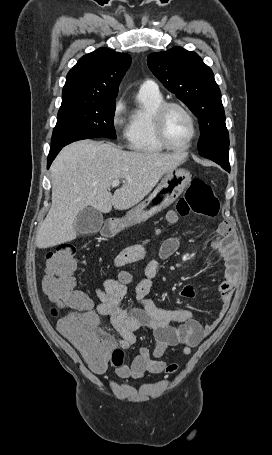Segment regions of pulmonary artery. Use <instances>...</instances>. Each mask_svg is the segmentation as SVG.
I'll list each match as a JSON object with an SVG mask.
<instances>
[{
  "label": "pulmonary artery",
  "mask_w": 272,
  "mask_h": 455,
  "mask_svg": "<svg viewBox=\"0 0 272 455\" xmlns=\"http://www.w3.org/2000/svg\"><path fill=\"white\" fill-rule=\"evenodd\" d=\"M140 90L152 91V92L159 91L157 84L152 80L144 81L140 86Z\"/></svg>",
  "instance_id": "1"
}]
</instances>
